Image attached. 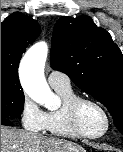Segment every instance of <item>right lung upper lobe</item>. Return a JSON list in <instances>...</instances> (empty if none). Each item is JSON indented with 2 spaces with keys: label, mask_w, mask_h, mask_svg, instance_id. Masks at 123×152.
Returning a JSON list of instances; mask_svg holds the SVG:
<instances>
[{
  "label": "right lung upper lobe",
  "mask_w": 123,
  "mask_h": 152,
  "mask_svg": "<svg viewBox=\"0 0 123 152\" xmlns=\"http://www.w3.org/2000/svg\"><path fill=\"white\" fill-rule=\"evenodd\" d=\"M41 32L36 20L19 12L1 22V73L18 76V65L28 44Z\"/></svg>",
  "instance_id": "obj_1"
}]
</instances>
